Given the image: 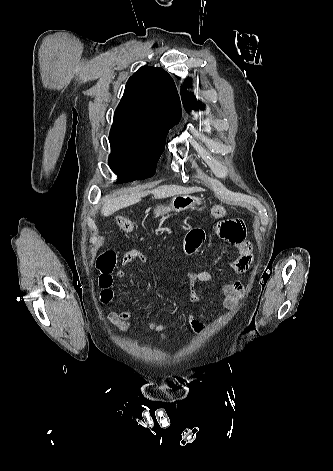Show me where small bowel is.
Returning a JSON list of instances; mask_svg holds the SVG:
<instances>
[{
	"mask_svg": "<svg viewBox=\"0 0 333 471\" xmlns=\"http://www.w3.org/2000/svg\"><path fill=\"white\" fill-rule=\"evenodd\" d=\"M216 234L227 241L236 249V257L231 261L230 268L235 274L246 272L254 262L253 246L246 239L245 222L242 218L231 217L221 220L216 224ZM206 234L201 228L192 229L185 240V249L188 253L196 251L205 241ZM134 260L142 263L147 262V256L138 249H131L125 253L121 260L122 265H128ZM125 272L118 270L117 277L124 278ZM190 282V298L192 301L198 300L199 296L196 290L198 283H207L216 279V275L209 271L188 272ZM221 290V304L227 308H234L241 300L245 298L246 292L242 282L234 279L231 282L223 283ZM107 320L110 324L116 326L122 331L131 327V314L128 311L113 310L109 313ZM190 328L197 333L204 332L206 325L196 317L190 315L187 319ZM147 329L161 334L162 338H167L169 324L159 322H149Z\"/></svg>",
	"mask_w": 333,
	"mask_h": 471,
	"instance_id": "obj_1",
	"label": "small bowel"
}]
</instances>
